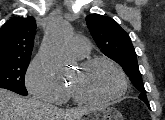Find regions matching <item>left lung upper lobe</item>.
<instances>
[{
  "instance_id": "1",
  "label": "left lung upper lobe",
  "mask_w": 165,
  "mask_h": 120,
  "mask_svg": "<svg viewBox=\"0 0 165 120\" xmlns=\"http://www.w3.org/2000/svg\"><path fill=\"white\" fill-rule=\"evenodd\" d=\"M86 23L101 52L122 66L132 84L140 91L138 98L150 107L129 35L107 16L91 14L86 17Z\"/></svg>"
}]
</instances>
